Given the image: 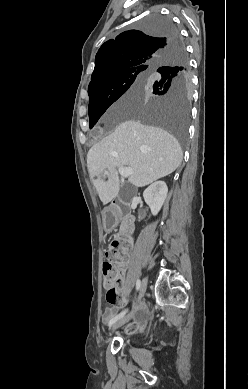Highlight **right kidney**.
<instances>
[{"mask_svg":"<svg viewBox=\"0 0 248 389\" xmlns=\"http://www.w3.org/2000/svg\"><path fill=\"white\" fill-rule=\"evenodd\" d=\"M168 187L164 181L151 184L143 193L145 202L151 209L152 215H157L167 197Z\"/></svg>","mask_w":248,"mask_h":389,"instance_id":"obj_1","label":"right kidney"}]
</instances>
